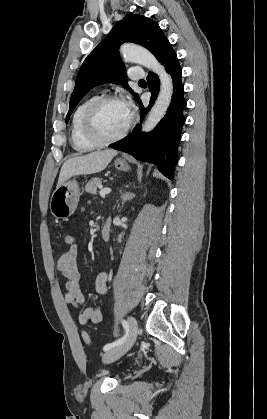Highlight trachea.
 Instances as JSON below:
<instances>
[{
    "label": "trachea",
    "instance_id": "1",
    "mask_svg": "<svg viewBox=\"0 0 267 419\" xmlns=\"http://www.w3.org/2000/svg\"><path fill=\"white\" fill-rule=\"evenodd\" d=\"M139 82H145V80H140Z\"/></svg>",
    "mask_w": 267,
    "mask_h": 419
}]
</instances>
